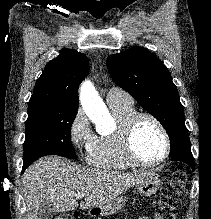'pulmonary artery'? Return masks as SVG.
Masks as SVG:
<instances>
[{"mask_svg":"<svg viewBox=\"0 0 211 219\" xmlns=\"http://www.w3.org/2000/svg\"><path fill=\"white\" fill-rule=\"evenodd\" d=\"M106 101L109 105L120 103H133V99L131 98V96L119 88H111L106 95Z\"/></svg>","mask_w":211,"mask_h":219,"instance_id":"1","label":"pulmonary artery"}]
</instances>
